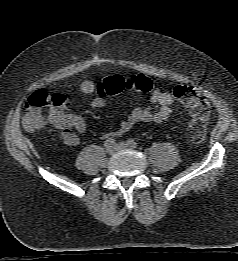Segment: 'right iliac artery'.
Segmentation results:
<instances>
[{
  "instance_id": "82829eb1",
  "label": "right iliac artery",
  "mask_w": 238,
  "mask_h": 261,
  "mask_svg": "<svg viewBox=\"0 0 238 261\" xmlns=\"http://www.w3.org/2000/svg\"><path fill=\"white\" fill-rule=\"evenodd\" d=\"M114 144H115V139H114V138H108V139L105 141L104 146H105L106 148H108V147L113 146Z\"/></svg>"
}]
</instances>
